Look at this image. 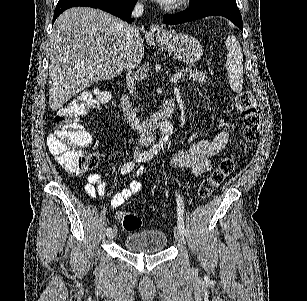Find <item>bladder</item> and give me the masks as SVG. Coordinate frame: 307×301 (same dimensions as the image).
Wrapping results in <instances>:
<instances>
[{
	"mask_svg": "<svg viewBox=\"0 0 307 301\" xmlns=\"http://www.w3.org/2000/svg\"><path fill=\"white\" fill-rule=\"evenodd\" d=\"M167 243L166 233L158 230L133 232L123 240L126 250L143 254L163 251Z\"/></svg>",
	"mask_w": 307,
	"mask_h": 301,
	"instance_id": "obj_1",
	"label": "bladder"
}]
</instances>
